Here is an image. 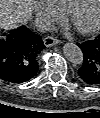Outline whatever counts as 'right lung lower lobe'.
Masks as SVG:
<instances>
[{
  "label": "right lung lower lobe",
  "instance_id": "obj_1",
  "mask_svg": "<svg viewBox=\"0 0 100 118\" xmlns=\"http://www.w3.org/2000/svg\"><path fill=\"white\" fill-rule=\"evenodd\" d=\"M44 48L41 37L27 27L12 30L6 40H0V78L11 83L33 78Z\"/></svg>",
  "mask_w": 100,
  "mask_h": 118
}]
</instances>
